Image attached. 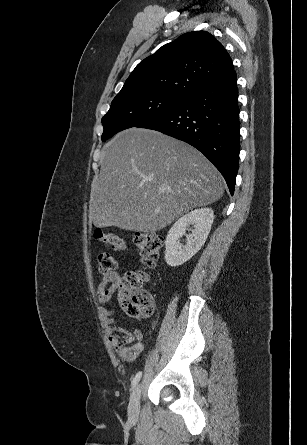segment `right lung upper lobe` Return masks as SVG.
<instances>
[{
  "label": "right lung upper lobe",
  "instance_id": "right-lung-upper-lobe-1",
  "mask_svg": "<svg viewBox=\"0 0 307 445\" xmlns=\"http://www.w3.org/2000/svg\"><path fill=\"white\" fill-rule=\"evenodd\" d=\"M234 71L223 45L206 31L188 32L140 62L117 95L188 96Z\"/></svg>",
  "mask_w": 307,
  "mask_h": 445
}]
</instances>
